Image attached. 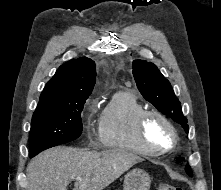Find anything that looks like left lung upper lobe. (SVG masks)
Returning a JSON list of instances; mask_svg holds the SVG:
<instances>
[{"instance_id":"left-lung-upper-lobe-1","label":"left lung upper lobe","mask_w":221,"mask_h":190,"mask_svg":"<svg viewBox=\"0 0 221 190\" xmlns=\"http://www.w3.org/2000/svg\"><path fill=\"white\" fill-rule=\"evenodd\" d=\"M132 68L134 79L142 96L160 112L180 123L188 133L189 127L187 119L182 114L181 104L175 96L171 84L158 68L153 63L143 60H134ZM185 170L188 175H192L189 166H186Z\"/></svg>"}]
</instances>
